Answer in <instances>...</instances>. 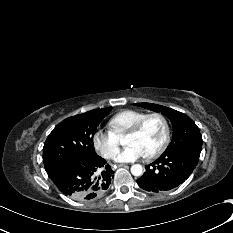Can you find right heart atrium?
Segmentation results:
<instances>
[{
    "label": "right heart atrium",
    "mask_w": 233,
    "mask_h": 233,
    "mask_svg": "<svg viewBox=\"0 0 233 233\" xmlns=\"http://www.w3.org/2000/svg\"><path fill=\"white\" fill-rule=\"evenodd\" d=\"M92 143L105 158H114L119 150V142L113 131H96L92 136Z\"/></svg>",
    "instance_id": "d8ad5b80"
}]
</instances>
